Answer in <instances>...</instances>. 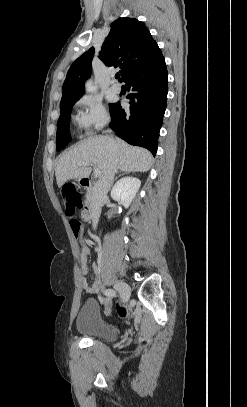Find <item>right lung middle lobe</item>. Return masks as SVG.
Segmentation results:
<instances>
[{
	"label": "right lung middle lobe",
	"mask_w": 247,
	"mask_h": 407,
	"mask_svg": "<svg viewBox=\"0 0 247 407\" xmlns=\"http://www.w3.org/2000/svg\"><path fill=\"white\" fill-rule=\"evenodd\" d=\"M76 100L67 101L63 104H60V117L57 123V134H56V149L60 151L63 149L71 140L69 135V123H70V114L73 105L77 102ZM113 104L109 105V108Z\"/></svg>",
	"instance_id": "right-lung-middle-lobe-1"
}]
</instances>
